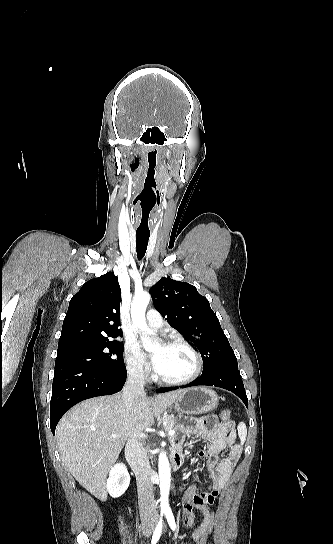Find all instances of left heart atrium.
Wrapping results in <instances>:
<instances>
[{"mask_svg": "<svg viewBox=\"0 0 333 544\" xmlns=\"http://www.w3.org/2000/svg\"><path fill=\"white\" fill-rule=\"evenodd\" d=\"M158 360H159V356H158L157 354H153V356H152V362H153L154 366L157 365Z\"/></svg>", "mask_w": 333, "mask_h": 544, "instance_id": "obj_1", "label": "left heart atrium"}]
</instances>
